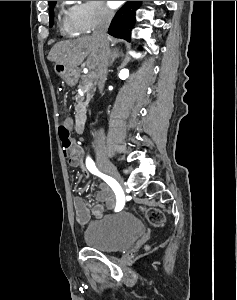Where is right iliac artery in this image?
I'll return each mask as SVG.
<instances>
[{
    "label": "right iliac artery",
    "mask_w": 237,
    "mask_h": 300,
    "mask_svg": "<svg viewBox=\"0 0 237 300\" xmlns=\"http://www.w3.org/2000/svg\"><path fill=\"white\" fill-rule=\"evenodd\" d=\"M86 166L92 174L101 177L112 188V190L116 194V199H117L115 210H121L124 206V200L119 196V192L122 191L121 186L112 177L101 173L96 168L95 163L93 162V160L90 157H87V159H86Z\"/></svg>",
    "instance_id": "82829eb1"
}]
</instances>
